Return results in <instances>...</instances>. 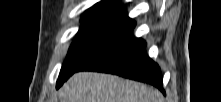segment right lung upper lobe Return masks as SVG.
I'll return each mask as SVG.
<instances>
[{"mask_svg":"<svg viewBox=\"0 0 221 102\" xmlns=\"http://www.w3.org/2000/svg\"><path fill=\"white\" fill-rule=\"evenodd\" d=\"M97 4H105L110 7L123 8L122 6L118 5L116 3V1H114V0H105V1L99 2Z\"/></svg>","mask_w":221,"mask_h":102,"instance_id":"obj_1","label":"right lung upper lobe"}]
</instances>
